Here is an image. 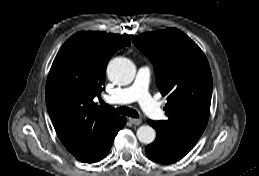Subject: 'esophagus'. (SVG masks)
I'll return each mask as SVG.
<instances>
[{
  "mask_svg": "<svg viewBox=\"0 0 259 176\" xmlns=\"http://www.w3.org/2000/svg\"><path fill=\"white\" fill-rule=\"evenodd\" d=\"M129 122L133 125H140L142 123V120L139 118H129Z\"/></svg>",
  "mask_w": 259,
  "mask_h": 176,
  "instance_id": "esophagus-1",
  "label": "esophagus"
}]
</instances>
